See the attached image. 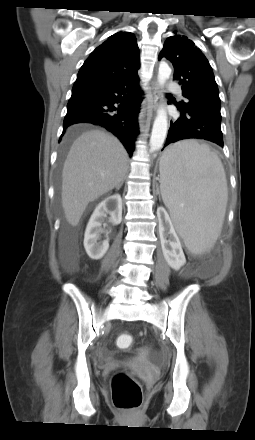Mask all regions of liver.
I'll return each instance as SVG.
<instances>
[{"instance_id":"liver-1","label":"liver","mask_w":255,"mask_h":440,"mask_svg":"<svg viewBox=\"0 0 255 440\" xmlns=\"http://www.w3.org/2000/svg\"><path fill=\"white\" fill-rule=\"evenodd\" d=\"M128 153L113 135L82 133L72 144L62 171V207L67 222L78 225L87 205L118 186L127 171ZM169 168L160 162V171Z\"/></svg>"}]
</instances>
